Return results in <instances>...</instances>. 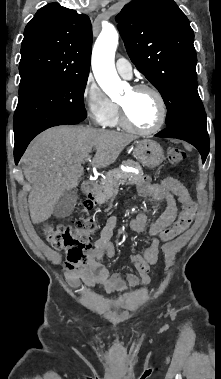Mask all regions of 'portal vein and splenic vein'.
<instances>
[{
  "instance_id": "obj_1",
  "label": "portal vein and splenic vein",
  "mask_w": 221,
  "mask_h": 379,
  "mask_svg": "<svg viewBox=\"0 0 221 379\" xmlns=\"http://www.w3.org/2000/svg\"><path fill=\"white\" fill-rule=\"evenodd\" d=\"M85 160L90 162V161H91V158H90V157H87Z\"/></svg>"
}]
</instances>
